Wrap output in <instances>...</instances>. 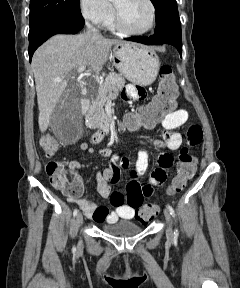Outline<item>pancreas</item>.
Wrapping results in <instances>:
<instances>
[{"label": "pancreas", "mask_w": 240, "mask_h": 288, "mask_svg": "<svg viewBox=\"0 0 240 288\" xmlns=\"http://www.w3.org/2000/svg\"><path fill=\"white\" fill-rule=\"evenodd\" d=\"M125 83V79L115 72H110L104 82H97L96 96L92 99V105L85 117L91 119L103 115L105 113L104 106L109 97L107 89L121 88Z\"/></svg>", "instance_id": "obj_1"}]
</instances>
